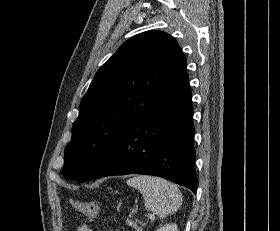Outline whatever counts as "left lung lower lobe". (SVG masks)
<instances>
[{"instance_id":"obj_1","label":"left lung lower lobe","mask_w":280,"mask_h":231,"mask_svg":"<svg viewBox=\"0 0 280 231\" xmlns=\"http://www.w3.org/2000/svg\"><path fill=\"white\" fill-rule=\"evenodd\" d=\"M192 94L186 78L115 141L88 180L113 175L159 176L196 194Z\"/></svg>"}]
</instances>
